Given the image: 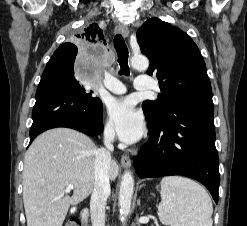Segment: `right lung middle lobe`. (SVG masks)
<instances>
[{
	"label": "right lung middle lobe",
	"instance_id": "1",
	"mask_svg": "<svg viewBox=\"0 0 247 226\" xmlns=\"http://www.w3.org/2000/svg\"><path fill=\"white\" fill-rule=\"evenodd\" d=\"M61 57L64 58V59H66L71 64L72 67L74 66V61H75V57L76 56H65V55H62ZM95 98H97V97H95Z\"/></svg>",
	"mask_w": 247,
	"mask_h": 226
}]
</instances>
